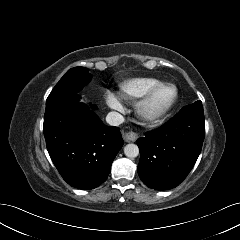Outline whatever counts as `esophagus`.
I'll return each instance as SVG.
<instances>
[{
	"label": "esophagus",
	"mask_w": 240,
	"mask_h": 240,
	"mask_svg": "<svg viewBox=\"0 0 240 240\" xmlns=\"http://www.w3.org/2000/svg\"><path fill=\"white\" fill-rule=\"evenodd\" d=\"M138 138V134L132 131L126 132L124 134V140L126 142H135Z\"/></svg>",
	"instance_id": "obj_1"
}]
</instances>
